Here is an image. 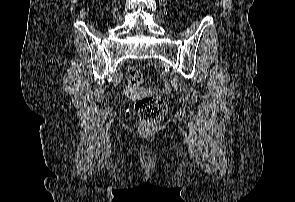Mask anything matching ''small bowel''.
Listing matches in <instances>:
<instances>
[{
	"label": "small bowel",
	"instance_id": "obj_1",
	"mask_svg": "<svg viewBox=\"0 0 295 202\" xmlns=\"http://www.w3.org/2000/svg\"><path fill=\"white\" fill-rule=\"evenodd\" d=\"M129 98H153L150 89H141V85H134L128 89Z\"/></svg>",
	"mask_w": 295,
	"mask_h": 202
}]
</instances>
